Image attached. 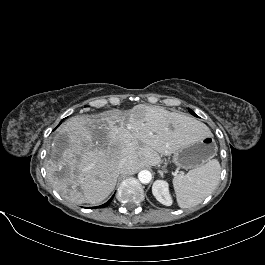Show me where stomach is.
Returning <instances> with one entry per match:
<instances>
[{"instance_id": "obj_1", "label": "stomach", "mask_w": 265, "mask_h": 265, "mask_svg": "<svg viewBox=\"0 0 265 265\" xmlns=\"http://www.w3.org/2000/svg\"><path fill=\"white\" fill-rule=\"evenodd\" d=\"M216 154V144L210 135L186 140L180 148L173 153V162L184 169L199 167L210 161Z\"/></svg>"}]
</instances>
